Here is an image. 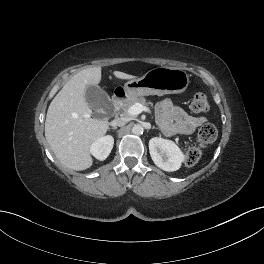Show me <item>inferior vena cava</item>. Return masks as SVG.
Returning a JSON list of instances; mask_svg holds the SVG:
<instances>
[{
	"instance_id": "1",
	"label": "inferior vena cava",
	"mask_w": 264,
	"mask_h": 264,
	"mask_svg": "<svg viewBox=\"0 0 264 264\" xmlns=\"http://www.w3.org/2000/svg\"><path fill=\"white\" fill-rule=\"evenodd\" d=\"M126 123H127L126 118H117V119L111 121L110 125L113 127H116V126H124Z\"/></svg>"
}]
</instances>
